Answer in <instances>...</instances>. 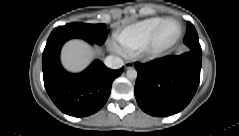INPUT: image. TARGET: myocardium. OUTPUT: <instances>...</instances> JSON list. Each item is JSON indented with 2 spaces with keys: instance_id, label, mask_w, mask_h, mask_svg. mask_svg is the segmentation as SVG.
Instances as JSON below:
<instances>
[{
  "instance_id": "f54148a6",
  "label": "myocardium",
  "mask_w": 239,
  "mask_h": 136,
  "mask_svg": "<svg viewBox=\"0 0 239 136\" xmlns=\"http://www.w3.org/2000/svg\"><path fill=\"white\" fill-rule=\"evenodd\" d=\"M173 21L171 20H166L164 22H162L149 36V38L146 40L145 42V48L146 49H153L157 46V38L161 32V30L168 25L169 23H172ZM176 23L178 25L179 28V34L181 33V26L178 22H173Z\"/></svg>"
}]
</instances>
